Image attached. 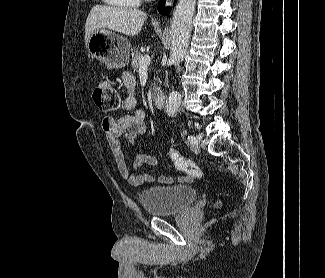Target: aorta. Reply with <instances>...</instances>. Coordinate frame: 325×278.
Masks as SVG:
<instances>
[{
	"instance_id": "obj_1",
	"label": "aorta",
	"mask_w": 325,
	"mask_h": 278,
	"mask_svg": "<svg viewBox=\"0 0 325 278\" xmlns=\"http://www.w3.org/2000/svg\"><path fill=\"white\" fill-rule=\"evenodd\" d=\"M196 0H179L172 17L171 22V47L170 61L179 69L183 61L186 49L189 44L191 22L195 12ZM181 104V97L178 92L170 93L166 102V112L174 116Z\"/></svg>"
}]
</instances>
